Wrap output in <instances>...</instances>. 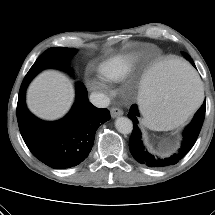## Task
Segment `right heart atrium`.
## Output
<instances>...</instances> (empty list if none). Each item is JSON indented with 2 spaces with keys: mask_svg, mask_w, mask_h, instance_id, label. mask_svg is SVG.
Segmentation results:
<instances>
[{
  "mask_svg": "<svg viewBox=\"0 0 215 215\" xmlns=\"http://www.w3.org/2000/svg\"><path fill=\"white\" fill-rule=\"evenodd\" d=\"M89 85L94 88L97 89L99 91H105L106 90V86L105 83L102 79L100 78H92L89 80Z\"/></svg>",
  "mask_w": 215,
  "mask_h": 215,
  "instance_id": "right-heart-atrium-1",
  "label": "right heart atrium"
}]
</instances>
